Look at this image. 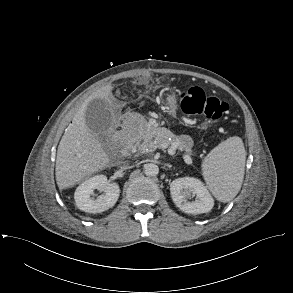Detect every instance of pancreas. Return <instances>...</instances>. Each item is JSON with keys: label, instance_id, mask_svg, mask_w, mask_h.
<instances>
[{"label": "pancreas", "instance_id": "cf45deb5", "mask_svg": "<svg viewBox=\"0 0 293 293\" xmlns=\"http://www.w3.org/2000/svg\"><path fill=\"white\" fill-rule=\"evenodd\" d=\"M171 134L169 131L160 127L145 128L140 131L139 136L136 139L138 143V151L140 153H149L155 151L162 143H172L174 141L180 142V137L175 136L172 141H168V137ZM142 141V143H140ZM179 149L185 151L187 155H191V148L183 144H179Z\"/></svg>", "mask_w": 293, "mask_h": 293}]
</instances>
